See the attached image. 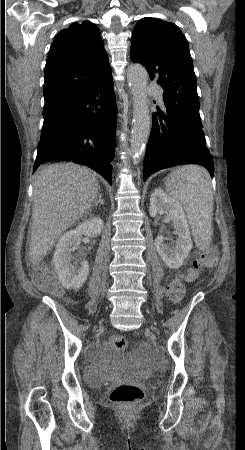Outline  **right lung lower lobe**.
Returning a JSON list of instances; mask_svg holds the SVG:
<instances>
[{
    "label": "right lung lower lobe",
    "mask_w": 245,
    "mask_h": 450,
    "mask_svg": "<svg viewBox=\"0 0 245 450\" xmlns=\"http://www.w3.org/2000/svg\"><path fill=\"white\" fill-rule=\"evenodd\" d=\"M43 115L33 172L45 161H71L90 167L112 184L117 121L112 74Z\"/></svg>",
    "instance_id": "obj_1"
}]
</instances>
